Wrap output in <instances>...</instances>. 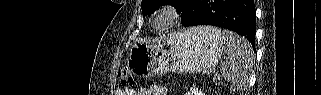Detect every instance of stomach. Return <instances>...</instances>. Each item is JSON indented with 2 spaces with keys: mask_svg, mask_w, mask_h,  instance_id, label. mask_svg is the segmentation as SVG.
<instances>
[{
  "mask_svg": "<svg viewBox=\"0 0 321 95\" xmlns=\"http://www.w3.org/2000/svg\"><path fill=\"white\" fill-rule=\"evenodd\" d=\"M223 50L221 41L192 28L155 41L134 43L127 64L133 74L141 77L166 72L210 73Z\"/></svg>",
  "mask_w": 321,
  "mask_h": 95,
  "instance_id": "1",
  "label": "stomach"
}]
</instances>
